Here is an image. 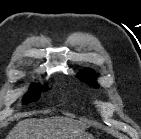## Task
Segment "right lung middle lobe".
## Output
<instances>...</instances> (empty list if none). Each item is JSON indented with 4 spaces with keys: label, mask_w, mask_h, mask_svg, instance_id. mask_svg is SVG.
I'll return each mask as SVG.
<instances>
[{
    "label": "right lung middle lobe",
    "mask_w": 141,
    "mask_h": 139,
    "mask_svg": "<svg viewBox=\"0 0 141 139\" xmlns=\"http://www.w3.org/2000/svg\"><path fill=\"white\" fill-rule=\"evenodd\" d=\"M41 94V87L38 85L32 86L29 91L26 93V95L23 98V103L27 104L30 102H35L39 99Z\"/></svg>",
    "instance_id": "right-lung-middle-lobe-1"
}]
</instances>
